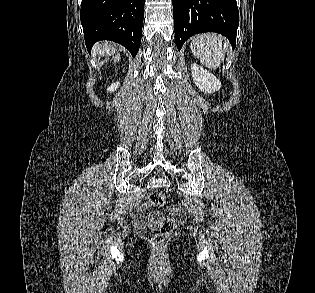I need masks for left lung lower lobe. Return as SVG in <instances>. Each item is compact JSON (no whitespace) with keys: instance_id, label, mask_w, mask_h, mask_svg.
I'll return each instance as SVG.
<instances>
[{"instance_id":"1","label":"left lung lower lobe","mask_w":315,"mask_h":293,"mask_svg":"<svg viewBox=\"0 0 315 293\" xmlns=\"http://www.w3.org/2000/svg\"><path fill=\"white\" fill-rule=\"evenodd\" d=\"M175 42L178 50L197 33L217 32L234 48L239 25L236 0H172Z\"/></svg>"}]
</instances>
